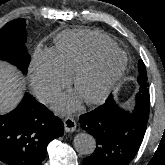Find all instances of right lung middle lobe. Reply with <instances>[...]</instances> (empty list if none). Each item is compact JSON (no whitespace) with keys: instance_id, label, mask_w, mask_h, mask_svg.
Listing matches in <instances>:
<instances>
[{"instance_id":"1","label":"right lung middle lobe","mask_w":165,"mask_h":165,"mask_svg":"<svg viewBox=\"0 0 165 165\" xmlns=\"http://www.w3.org/2000/svg\"><path fill=\"white\" fill-rule=\"evenodd\" d=\"M27 33L25 19L8 22L0 30V60H5L17 67L26 69L30 62V55L25 47Z\"/></svg>"}]
</instances>
